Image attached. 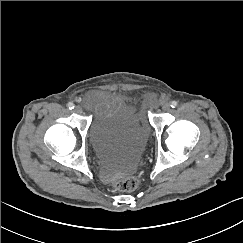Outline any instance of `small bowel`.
I'll return each instance as SVG.
<instances>
[{"mask_svg":"<svg viewBox=\"0 0 243 243\" xmlns=\"http://www.w3.org/2000/svg\"><path fill=\"white\" fill-rule=\"evenodd\" d=\"M118 99V94L104 90H96L87 95L85 103L93 110H101L110 106Z\"/></svg>","mask_w":243,"mask_h":243,"instance_id":"obj_1","label":"small bowel"}]
</instances>
